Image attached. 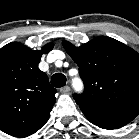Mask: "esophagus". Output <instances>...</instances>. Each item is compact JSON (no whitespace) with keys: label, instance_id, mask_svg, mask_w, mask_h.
Wrapping results in <instances>:
<instances>
[{"label":"esophagus","instance_id":"34e87169","mask_svg":"<svg viewBox=\"0 0 139 139\" xmlns=\"http://www.w3.org/2000/svg\"><path fill=\"white\" fill-rule=\"evenodd\" d=\"M70 91V87L69 86H64L62 88H60V92L61 93H68Z\"/></svg>","mask_w":139,"mask_h":139}]
</instances>
